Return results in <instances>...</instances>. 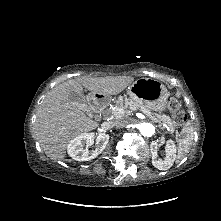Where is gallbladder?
<instances>
[{
  "label": "gallbladder",
  "instance_id": "1",
  "mask_svg": "<svg viewBox=\"0 0 221 221\" xmlns=\"http://www.w3.org/2000/svg\"><path fill=\"white\" fill-rule=\"evenodd\" d=\"M68 98H69L70 101L77 102V103H80V104H83V103L86 102L85 97L78 94V93H76V92H69Z\"/></svg>",
  "mask_w": 221,
  "mask_h": 221
}]
</instances>
